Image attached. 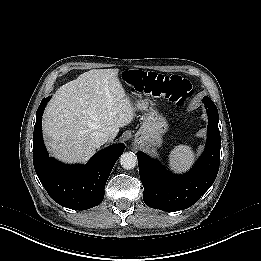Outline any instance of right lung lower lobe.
Returning <instances> with one entry per match:
<instances>
[{"label": "right lung lower lobe", "instance_id": "98d812e1", "mask_svg": "<svg viewBox=\"0 0 261 261\" xmlns=\"http://www.w3.org/2000/svg\"><path fill=\"white\" fill-rule=\"evenodd\" d=\"M50 97L37 110L33 133V164L49 196L61 206L86 210L99 205L104 198L106 181L117 159L123 153L122 143L96 153L86 165H65L50 158L42 139V114Z\"/></svg>", "mask_w": 261, "mask_h": 261}]
</instances>
